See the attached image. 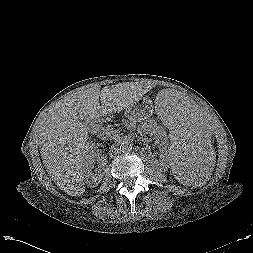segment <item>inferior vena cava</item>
I'll use <instances>...</instances> for the list:
<instances>
[{"label": "inferior vena cava", "mask_w": 253, "mask_h": 253, "mask_svg": "<svg viewBox=\"0 0 253 253\" xmlns=\"http://www.w3.org/2000/svg\"><path fill=\"white\" fill-rule=\"evenodd\" d=\"M97 130H99V128H96L95 131H97ZM119 152H120V149H119V147H118V144H116V145H113V146L111 147L110 155H111V156H116V155L119 154Z\"/></svg>", "instance_id": "obj_1"}]
</instances>
